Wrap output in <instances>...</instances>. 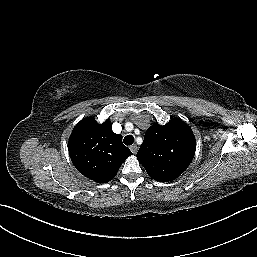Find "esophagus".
<instances>
[{
	"instance_id": "obj_1",
	"label": "esophagus",
	"mask_w": 257,
	"mask_h": 257,
	"mask_svg": "<svg viewBox=\"0 0 257 257\" xmlns=\"http://www.w3.org/2000/svg\"><path fill=\"white\" fill-rule=\"evenodd\" d=\"M130 150L132 151V153L133 154H136L137 153V151H138V147H137V145H131L130 146Z\"/></svg>"
}]
</instances>
